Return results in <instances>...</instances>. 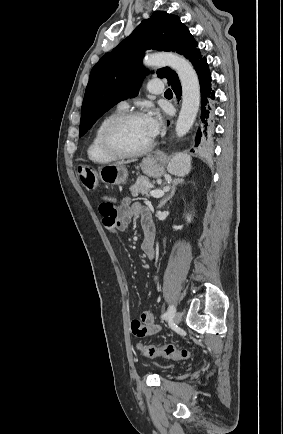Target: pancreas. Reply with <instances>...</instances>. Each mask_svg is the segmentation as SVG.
Returning a JSON list of instances; mask_svg holds the SVG:
<instances>
[{
  "mask_svg": "<svg viewBox=\"0 0 283 434\" xmlns=\"http://www.w3.org/2000/svg\"><path fill=\"white\" fill-rule=\"evenodd\" d=\"M151 186H153V183H150L148 178L140 176L136 183L130 187V191L133 197H137L139 194H148Z\"/></svg>",
  "mask_w": 283,
  "mask_h": 434,
  "instance_id": "cf45deb5",
  "label": "pancreas"
}]
</instances>
